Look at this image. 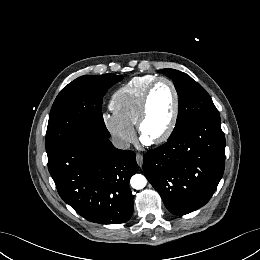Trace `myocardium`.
Returning a JSON list of instances; mask_svg holds the SVG:
<instances>
[{"label": "myocardium", "instance_id": "1", "mask_svg": "<svg viewBox=\"0 0 260 260\" xmlns=\"http://www.w3.org/2000/svg\"><path fill=\"white\" fill-rule=\"evenodd\" d=\"M160 83H167L171 87L173 95H174V109H173L170 123H169L167 129L164 131V133L154 139H146L143 135V129H142L143 123H144L145 118L148 113L151 95H152L154 89L156 88V86ZM179 114H180V94H179V91H178L176 85L174 84L173 81H171L170 79H168L166 77L156 78L150 84L148 89L146 90V92L142 98L139 113H138L136 127H137V131H138V134H139L141 140L147 144H161V143L166 142L172 136V134L176 128V125H177L178 119H179Z\"/></svg>", "mask_w": 260, "mask_h": 260}]
</instances>
